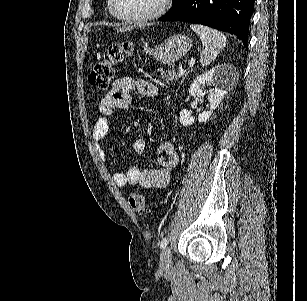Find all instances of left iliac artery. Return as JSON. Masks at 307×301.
I'll use <instances>...</instances> for the list:
<instances>
[{"mask_svg": "<svg viewBox=\"0 0 307 301\" xmlns=\"http://www.w3.org/2000/svg\"><path fill=\"white\" fill-rule=\"evenodd\" d=\"M168 242H169L168 237L163 238L160 245L161 249H164L167 246Z\"/></svg>", "mask_w": 307, "mask_h": 301, "instance_id": "44dca946", "label": "left iliac artery"}]
</instances>
